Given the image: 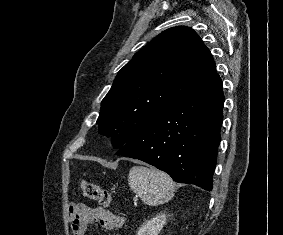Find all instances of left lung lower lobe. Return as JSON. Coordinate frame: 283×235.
Listing matches in <instances>:
<instances>
[{
	"mask_svg": "<svg viewBox=\"0 0 283 235\" xmlns=\"http://www.w3.org/2000/svg\"><path fill=\"white\" fill-rule=\"evenodd\" d=\"M224 95L218 74L185 95L116 155L142 160L174 181L212 190Z\"/></svg>",
	"mask_w": 283,
	"mask_h": 235,
	"instance_id": "obj_1",
	"label": "left lung lower lobe"
}]
</instances>
